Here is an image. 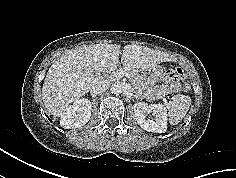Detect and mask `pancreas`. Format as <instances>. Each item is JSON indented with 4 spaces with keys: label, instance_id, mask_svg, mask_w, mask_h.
<instances>
[{
    "label": "pancreas",
    "instance_id": "pancreas-1",
    "mask_svg": "<svg viewBox=\"0 0 236 178\" xmlns=\"http://www.w3.org/2000/svg\"><path fill=\"white\" fill-rule=\"evenodd\" d=\"M118 71H124L129 73L130 80L134 86L135 93L145 98L146 100H155L161 98L163 93L158 87L153 88L152 86L147 85L141 80L139 73L136 70L132 69H120Z\"/></svg>",
    "mask_w": 236,
    "mask_h": 178
}]
</instances>
